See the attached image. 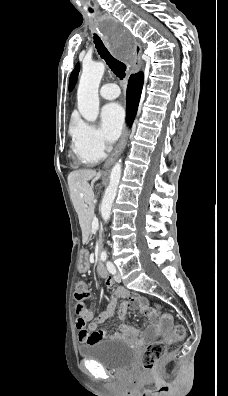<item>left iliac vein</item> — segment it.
Segmentation results:
<instances>
[{"label":"left iliac vein","instance_id":"4c4485c4","mask_svg":"<svg viewBox=\"0 0 228 396\" xmlns=\"http://www.w3.org/2000/svg\"><path fill=\"white\" fill-rule=\"evenodd\" d=\"M114 280H115L116 282H121V275H120L119 272H116V273H115V275H114Z\"/></svg>","mask_w":228,"mask_h":396}]
</instances>
